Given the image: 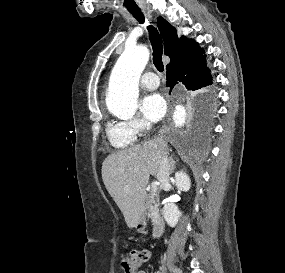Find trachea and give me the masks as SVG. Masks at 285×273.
<instances>
[{"mask_svg":"<svg viewBox=\"0 0 285 273\" xmlns=\"http://www.w3.org/2000/svg\"><path fill=\"white\" fill-rule=\"evenodd\" d=\"M133 17L137 19L139 23H144L145 17L143 13L140 12H130ZM149 32V38L153 49V63L159 72H163L164 65L162 62V54H163V44L162 39L159 35L158 30L152 25L147 26Z\"/></svg>","mask_w":285,"mask_h":273,"instance_id":"trachea-1","label":"trachea"}]
</instances>
